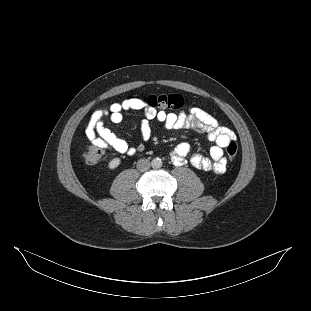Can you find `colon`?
<instances>
[{
  "label": "colon",
  "mask_w": 311,
  "mask_h": 311,
  "mask_svg": "<svg viewBox=\"0 0 311 311\" xmlns=\"http://www.w3.org/2000/svg\"><path fill=\"white\" fill-rule=\"evenodd\" d=\"M149 107L160 110H178L183 107L185 101L178 94L150 95L143 100ZM238 147L235 142L227 145L226 152L230 160H234ZM104 149L99 146L90 148L84 155L85 161L89 165H94L102 158Z\"/></svg>",
  "instance_id": "colon-1"
}]
</instances>
